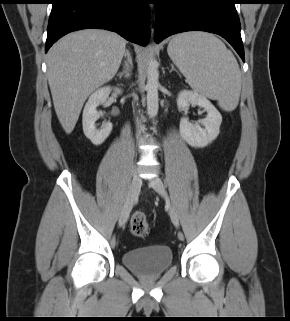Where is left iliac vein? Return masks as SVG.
<instances>
[{
	"mask_svg": "<svg viewBox=\"0 0 290 321\" xmlns=\"http://www.w3.org/2000/svg\"><path fill=\"white\" fill-rule=\"evenodd\" d=\"M149 185L163 198L167 199V193L165 190V186L162 182V180L155 176L149 180ZM169 215L171 218V221L176 227H179V216L177 211L172 205H169Z\"/></svg>",
	"mask_w": 290,
	"mask_h": 321,
	"instance_id": "left-iliac-vein-1",
	"label": "left iliac vein"
}]
</instances>
